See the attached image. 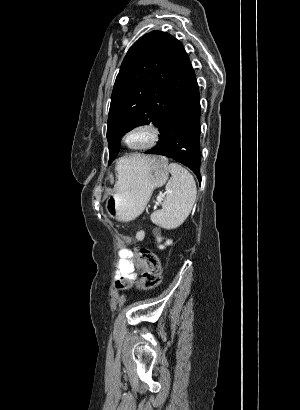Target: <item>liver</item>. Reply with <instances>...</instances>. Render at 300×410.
<instances>
[{
	"instance_id": "6515ba94",
	"label": "liver",
	"mask_w": 300,
	"mask_h": 410,
	"mask_svg": "<svg viewBox=\"0 0 300 410\" xmlns=\"http://www.w3.org/2000/svg\"><path fill=\"white\" fill-rule=\"evenodd\" d=\"M147 158H148V156H145V155L134 154V155H131L127 158V163L130 164V165H134V164H137L141 161L146 160Z\"/></svg>"
}]
</instances>
